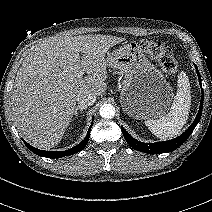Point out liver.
<instances>
[{
  "label": "liver",
  "mask_w": 212,
  "mask_h": 212,
  "mask_svg": "<svg viewBox=\"0 0 212 212\" xmlns=\"http://www.w3.org/2000/svg\"><path fill=\"white\" fill-rule=\"evenodd\" d=\"M123 40L111 35L54 36L29 53L17 72L11 96L15 126L27 142L41 149L60 142L78 95L100 96L107 89L105 55ZM80 71L87 76L78 78Z\"/></svg>",
  "instance_id": "liver-1"
}]
</instances>
